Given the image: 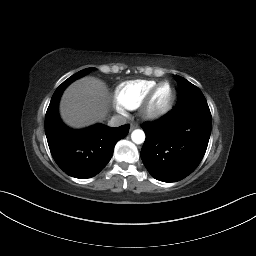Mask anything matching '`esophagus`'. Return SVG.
Wrapping results in <instances>:
<instances>
[{"label":"esophagus","instance_id":"esophagus-1","mask_svg":"<svg viewBox=\"0 0 256 256\" xmlns=\"http://www.w3.org/2000/svg\"><path fill=\"white\" fill-rule=\"evenodd\" d=\"M138 127V125L136 123H131L130 124V131L136 129Z\"/></svg>","mask_w":256,"mask_h":256}]
</instances>
